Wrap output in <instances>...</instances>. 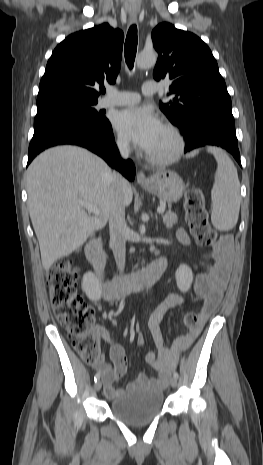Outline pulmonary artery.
<instances>
[{"instance_id":"obj_1","label":"pulmonary artery","mask_w":263,"mask_h":465,"mask_svg":"<svg viewBox=\"0 0 263 465\" xmlns=\"http://www.w3.org/2000/svg\"><path fill=\"white\" fill-rule=\"evenodd\" d=\"M158 91V85L153 81H146L142 85V94L151 96ZM140 101V95L136 92L117 91L109 89V94L100 101L102 107L133 105Z\"/></svg>"}]
</instances>
